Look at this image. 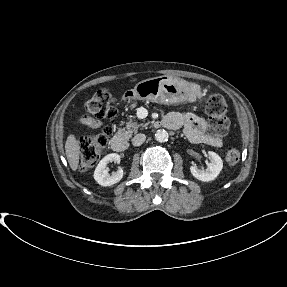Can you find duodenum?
<instances>
[{
  "label": "duodenum",
  "instance_id": "duodenum-1",
  "mask_svg": "<svg viewBox=\"0 0 287 287\" xmlns=\"http://www.w3.org/2000/svg\"><path fill=\"white\" fill-rule=\"evenodd\" d=\"M164 126L170 128L171 124L169 121H163ZM111 147L115 152H125L129 148L127 139L122 134H115L111 137Z\"/></svg>",
  "mask_w": 287,
  "mask_h": 287
}]
</instances>
